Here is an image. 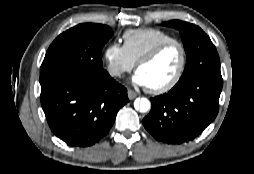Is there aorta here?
Here are the masks:
<instances>
[{
    "instance_id": "1",
    "label": "aorta",
    "mask_w": 254,
    "mask_h": 174,
    "mask_svg": "<svg viewBox=\"0 0 254 174\" xmlns=\"http://www.w3.org/2000/svg\"><path fill=\"white\" fill-rule=\"evenodd\" d=\"M134 107L141 113H145L150 110L151 103L147 98H138L134 102Z\"/></svg>"
}]
</instances>
